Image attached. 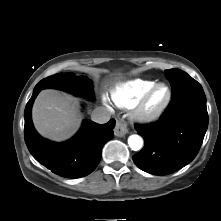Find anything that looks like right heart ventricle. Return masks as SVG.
<instances>
[{
	"instance_id": "1",
	"label": "right heart ventricle",
	"mask_w": 221,
	"mask_h": 221,
	"mask_svg": "<svg viewBox=\"0 0 221 221\" xmlns=\"http://www.w3.org/2000/svg\"><path fill=\"white\" fill-rule=\"evenodd\" d=\"M155 83L141 78L124 82L112 90L111 99L120 108H132Z\"/></svg>"
}]
</instances>
